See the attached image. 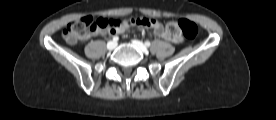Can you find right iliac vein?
<instances>
[{
	"mask_svg": "<svg viewBox=\"0 0 276 120\" xmlns=\"http://www.w3.org/2000/svg\"><path fill=\"white\" fill-rule=\"evenodd\" d=\"M116 47H117V42H115V41H110L107 44L108 50H114Z\"/></svg>",
	"mask_w": 276,
	"mask_h": 120,
	"instance_id": "1",
	"label": "right iliac vein"
}]
</instances>
